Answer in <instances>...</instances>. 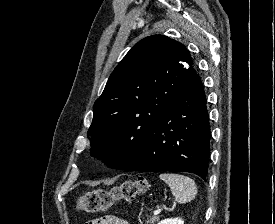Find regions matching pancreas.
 <instances>
[{"mask_svg": "<svg viewBox=\"0 0 275 224\" xmlns=\"http://www.w3.org/2000/svg\"><path fill=\"white\" fill-rule=\"evenodd\" d=\"M160 217L157 216H153V217H149L146 220V224H154L155 222L159 221Z\"/></svg>", "mask_w": 275, "mask_h": 224, "instance_id": "cf45deb5", "label": "pancreas"}]
</instances>
